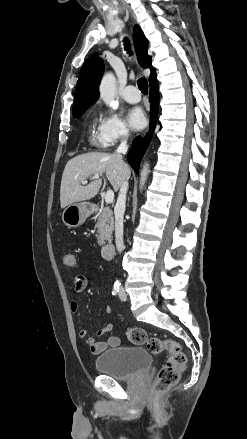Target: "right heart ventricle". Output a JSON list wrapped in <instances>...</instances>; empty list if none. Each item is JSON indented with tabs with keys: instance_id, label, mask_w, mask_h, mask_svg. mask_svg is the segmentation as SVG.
Returning <instances> with one entry per match:
<instances>
[{
	"instance_id": "e07e8e85",
	"label": "right heart ventricle",
	"mask_w": 247,
	"mask_h": 439,
	"mask_svg": "<svg viewBox=\"0 0 247 439\" xmlns=\"http://www.w3.org/2000/svg\"><path fill=\"white\" fill-rule=\"evenodd\" d=\"M89 141H90L92 144H94V145L102 146V144L100 143V141H99V139H98V136H95L94 134H91V135L89 136Z\"/></svg>"
}]
</instances>
